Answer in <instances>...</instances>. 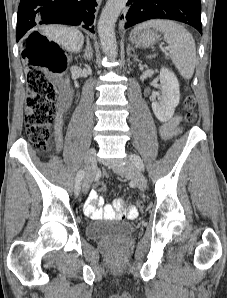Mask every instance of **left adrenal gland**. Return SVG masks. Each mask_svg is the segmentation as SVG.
Masks as SVG:
<instances>
[{
	"instance_id": "a2214340",
	"label": "left adrenal gland",
	"mask_w": 227,
	"mask_h": 298,
	"mask_svg": "<svg viewBox=\"0 0 227 298\" xmlns=\"http://www.w3.org/2000/svg\"><path fill=\"white\" fill-rule=\"evenodd\" d=\"M130 51H132L133 54H131ZM127 53H128L129 56L133 57L134 59L137 58V55L134 53V49L131 48L130 45H128Z\"/></svg>"
}]
</instances>
